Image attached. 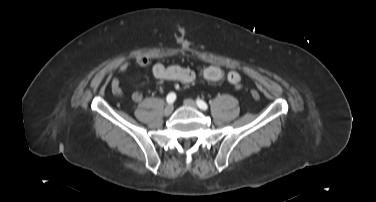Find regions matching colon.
I'll return each mask as SVG.
<instances>
[{
    "label": "colon",
    "instance_id": "colon-1",
    "mask_svg": "<svg viewBox=\"0 0 376 202\" xmlns=\"http://www.w3.org/2000/svg\"><path fill=\"white\" fill-rule=\"evenodd\" d=\"M251 96H252L254 99H258V98H259V93H258L256 90H252V91H251Z\"/></svg>",
    "mask_w": 376,
    "mask_h": 202
}]
</instances>
